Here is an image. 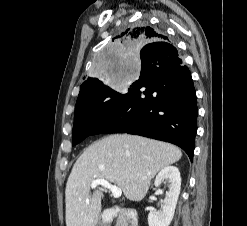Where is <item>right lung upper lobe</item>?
Masks as SVG:
<instances>
[{
    "label": "right lung upper lobe",
    "instance_id": "1",
    "mask_svg": "<svg viewBox=\"0 0 247 226\" xmlns=\"http://www.w3.org/2000/svg\"><path fill=\"white\" fill-rule=\"evenodd\" d=\"M125 44L130 43H145L151 44L154 42H167L168 38L162 34L160 31L154 30L150 26H139L134 28H128L120 36H116ZM100 81L96 78L88 77L80 87V93L78 98L88 94L94 90ZM77 98V99H78Z\"/></svg>",
    "mask_w": 247,
    "mask_h": 226
}]
</instances>
